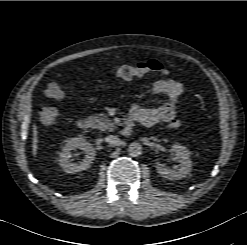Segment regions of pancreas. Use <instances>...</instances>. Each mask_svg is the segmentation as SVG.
<instances>
[{"instance_id": "cf45deb5", "label": "pancreas", "mask_w": 247, "mask_h": 245, "mask_svg": "<svg viewBox=\"0 0 247 245\" xmlns=\"http://www.w3.org/2000/svg\"><path fill=\"white\" fill-rule=\"evenodd\" d=\"M92 121V127L97 128L101 131H112L115 129V125L105 114L93 115L90 117Z\"/></svg>"}]
</instances>
